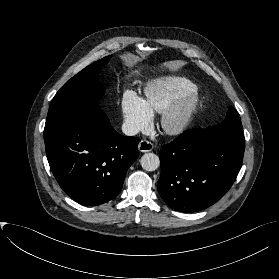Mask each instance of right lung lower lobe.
<instances>
[{
    "label": "right lung lower lobe",
    "instance_id": "98d812e1",
    "mask_svg": "<svg viewBox=\"0 0 279 279\" xmlns=\"http://www.w3.org/2000/svg\"><path fill=\"white\" fill-rule=\"evenodd\" d=\"M44 141L63 191L81 204L96 206L120 193L126 171L138 158L140 140L117 133L93 100L45 128Z\"/></svg>",
    "mask_w": 279,
    "mask_h": 279
}]
</instances>
